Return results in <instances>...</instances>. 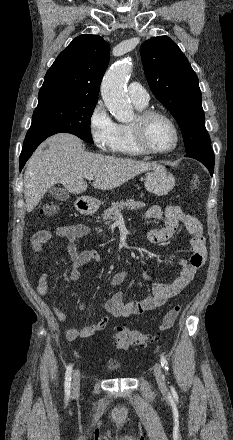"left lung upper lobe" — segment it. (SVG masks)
<instances>
[{"instance_id":"1","label":"left lung upper lobe","mask_w":233,"mask_h":440,"mask_svg":"<svg viewBox=\"0 0 233 440\" xmlns=\"http://www.w3.org/2000/svg\"><path fill=\"white\" fill-rule=\"evenodd\" d=\"M140 54L152 92L181 128L186 152L210 148L198 77L180 48L158 36L146 40Z\"/></svg>"}]
</instances>
